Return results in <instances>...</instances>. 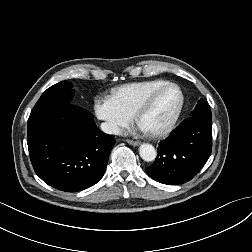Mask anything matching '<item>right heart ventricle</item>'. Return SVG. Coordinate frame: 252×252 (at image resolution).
<instances>
[{
	"label": "right heart ventricle",
	"mask_w": 252,
	"mask_h": 252,
	"mask_svg": "<svg viewBox=\"0 0 252 252\" xmlns=\"http://www.w3.org/2000/svg\"><path fill=\"white\" fill-rule=\"evenodd\" d=\"M169 81L161 78L124 84L112 90L111 98L123 110L135 114L137 107L155 88Z\"/></svg>",
	"instance_id": "right-heart-ventricle-1"
}]
</instances>
